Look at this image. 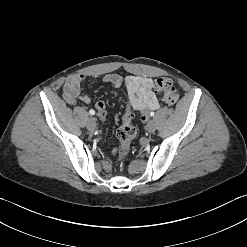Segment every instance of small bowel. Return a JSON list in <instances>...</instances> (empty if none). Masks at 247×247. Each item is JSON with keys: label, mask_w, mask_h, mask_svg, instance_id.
Here are the masks:
<instances>
[{"label": "small bowel", "mask_w": 247, "mask_h": 247, "mask_svg": "<svg viewBox=\"0 0 247 247\" xmlns=\"http://www.w3.org/2000/svg\"><path fill=\"white\" fill-rule=\"evenodd\" d=\"M109 75L104 76L103 82L112 86ZM118 77L122 81V85L128 87L129 106L141 112L142 120H146L149 111L159 108V101L154 93L155 82L153 79L135 75L124 77L118 75ZM83 80L82 75H72L66 80L63 87V96L68 104L75 105L77 101L90 103L89 96L81 92L80 86ZM94 105L100 120L105 121L106 108L104 102L97 101Z\"/></svg>", "instance_id": "1"}]
</instances>
